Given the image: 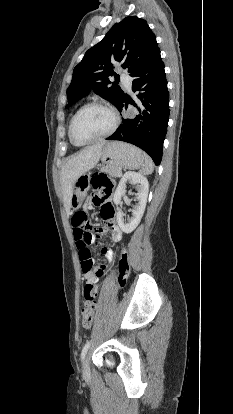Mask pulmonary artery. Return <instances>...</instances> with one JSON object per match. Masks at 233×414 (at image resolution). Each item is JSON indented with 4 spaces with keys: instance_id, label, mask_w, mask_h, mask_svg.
Masks as SVG:
<instances>
[{
    "instance_id": "obj_1",
    "label": "pulmonary artery",
    "mask_w": 233,
    "mask_h": 414,
    "mask_svg": "<svg viewBox=\"0 0 233 414\" xmlns=\"http://www.w3.org/2000/svg\"><path fill=\"white\" fill-rule=\"evenodd\" d=\"M120 77H121V80L124 83L125 87L127 89H130L131 88V78L126 73H122Z\"/></svg>"
}]
</instances>
